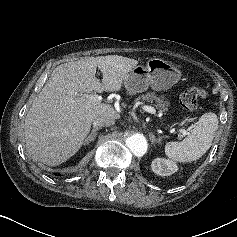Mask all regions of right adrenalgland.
I'll use <instances>...</instances> for the list:
<instances>
[{
    "label": "right adrenal gland",
    "instance_id": "1",
    "mask_svg": "<svg viewBox=\"0 0 237 237\" xmlns=\"http://www.w3.org/2000/svg\"><path fill=\"white\" fill-rule=\"evenodd\" d=\"M100 130V127H94L91 131V133L89 134V136L85 139L84 141V145L88 144L91 141H94L96 135H97V131Z\"/></svg>",
    "mask_w": 237,
    "mask_h": 237
}]
</instances>
